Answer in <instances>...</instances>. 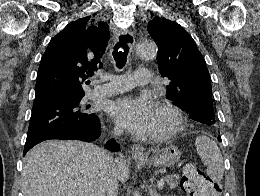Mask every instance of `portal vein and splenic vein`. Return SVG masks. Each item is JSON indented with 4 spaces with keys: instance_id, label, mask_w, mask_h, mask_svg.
<instances>
[{
    "instance_id": "obj_1",
    "label": "portal vein and splenic vein",
    "mask_w": 260,
    "mask_h": 196,
    "mask_svg": "<svg viewBox=\"0 0 260 196\" xmlns=\"http://www.w3.org/2000/svg\"><path fill=\"white\" fill-rule=\"evenodd\" d=\"M158 188L160 191H163L164 190V179H161L159 182H158Z\"/></svg>"
}]
</instances>
